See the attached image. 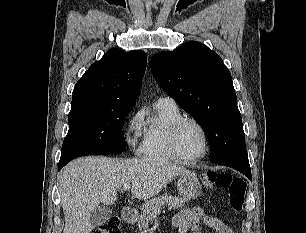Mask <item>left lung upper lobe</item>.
<instances>
[{
	"mask_svg": "<svg viewBox=\"0 0 306 233\" xmlns=\"http://www.w3.org/2000/svg\"><path fill=\"white\" fill-rule=\"evenodd\" d=\"M151 68L161 88L204 129L211 162L248 158L232 77L219 55L189 42L154 55Z\"/></svg>",
	"mask_w": 306,
	"mask_h": 233,
	"instance_id": "1",
	"label": "left lung upper lobe"
}]
</instances>
